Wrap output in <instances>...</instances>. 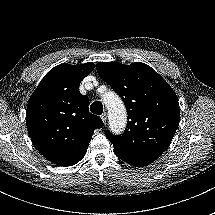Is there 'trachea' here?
<instances>
[{
	"mask_svg": "<svg viewBox=\"0 0 215 215\" xmlns=\"http://www.w3.org/2000/svg\"><path fill=\"white\" fill-rule=\"evenodd\" d=\"M90 110L96 115H101L103 112V105L100 101H95L91 104Z\"/></svg>",
	"mask_w": 215,
	"mask_h": 215,
	"instance_id": "trachea-1",
	"label": "trachea"
}]
</instances>
